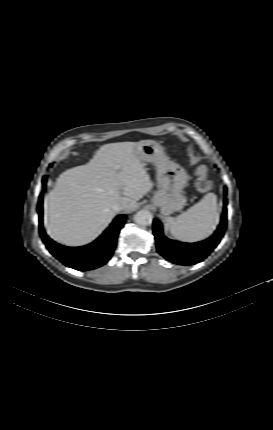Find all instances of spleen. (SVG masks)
Segmentation results:
<instances>
[{
	"mask_svg": "<svg viewBox=\"0 0 273 430\" xmlns=\"http://www.w3.org/2000/svg\"><path fill=\"white\" fill-rule=\"evenodd\" d=\"M219 220L217 196L208 193L204 198L178 217H167L170 233L184 242H197L209 237Z\"/></svg>",
	"mask_w": 273,
	"mask_h": 430,
	"instance_id": "spleen-1",
	"label": "spleen"
}]
</instances>
